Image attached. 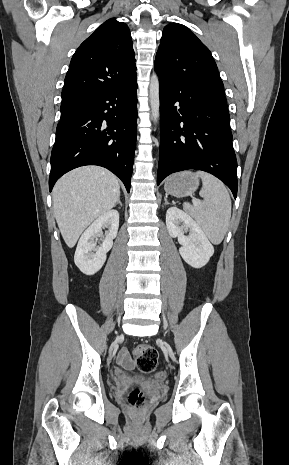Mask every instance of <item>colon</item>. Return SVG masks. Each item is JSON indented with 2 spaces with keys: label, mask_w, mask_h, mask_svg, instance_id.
<instances>
[{
  "label": "colon",
  "mask_w": 289,
  "mask_h": 465,
  "mask_svg": "<svg viewBox=\"0 0 289 465\" xmlns=\"http://www.w3.org/2000/svg\"><path fill=\"white\" fill-rule=\"evenodd\" d=\"M137 367L141 372L151 373L158 366V353L150 345H139L135 349ZM129 406L136 412L141 411L147 402L145 393L140 388H133L127 395Z\"/></svg>",
  "instance_id": "obj_1"
}]
</instances>
